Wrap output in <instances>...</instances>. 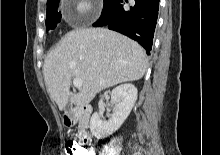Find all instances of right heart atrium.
<instances>
[{"mask_svg": "<svg viewBox=\"0 0 220 155\" xmlns=\"http://www.w3.org/2000/svg\"><path fill=\"white\" fill-rule=\"evenodd\" d=\"M98 8L95 0H76L74 3L73 20L77 24L89 23L96 19Z\"/></svg>", "mask_w": 220, "mask_h": 155, "instance_id": "d8ad5b80", "label": "right heart atrium"}]
</instances>
